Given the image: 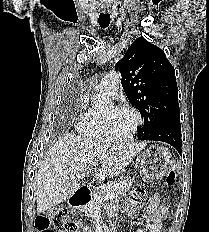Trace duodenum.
Segmentation results:
<instances>
[{
	"mask_svg": "<svg viewBox=\"0 0 209 232\" xmlns=\"http://www.w3.org/2000/svg\"><path fill=\"white\" fill-rule=\"evenodd\" d=\"M91 189L86 185L79 186L70 198V203L74 208H81L91 200Z\"/></svg>",
	"mask_w": 209,
	"mask_h": 232,
	"instance_id": "1",
	"label": "duodenum"
}]
</instances>
